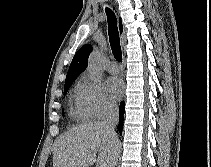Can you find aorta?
I'll use <instances>...</instances> for the list:
<instances>
[{"label":"aorta","mask_w":211,"mask_h":167,"mask_svg":"<svg viewBox=\"0 0 211 167\" xmlns=\"http://www.w3.org/2000/svg\"><path fill=\"white\" fill-rule=\"evenodd\" d=\"M102 54L100 50H95L89 57L88 67L95 73L100 74L102 71Z\"/></svg>","instance_id":"1"}]
</instances>
